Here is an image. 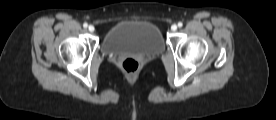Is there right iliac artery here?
I'll return each mask as SVG.
<instances>
[{
	"mask_svg": "<svg viewBox=\"0 0 276 120\" xmlns=\"http://www.w3.org/2000/svg\"><path fill=\"white\" fill-rule=\"evenodd\" d=\"M83 27H84V28H87V27H88V24H87V23H84V24H83Z\"/></svg>",
	"mask_w": 276,
	"mask_h": 120,
	"instance_id": "1",
	"label": "right iliac artery"
}]
</instances>
